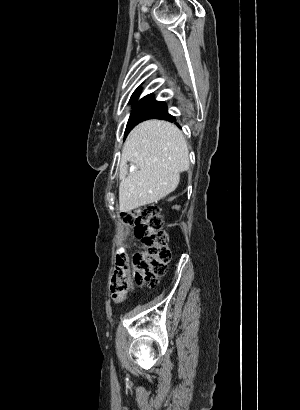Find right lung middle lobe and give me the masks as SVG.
Segmentation results:
<instances>
[{
  "mask_svg": "<svg viewBox=\"0 0 300 410\" xmlns=\"http://www.w3.org/2000/svg\"><path fill=\"white\" fill-rule=\"evenodd\" d=\"M139 93L140 88H138L131 97V101H134V107L126 126L125 137L136 124L167 109L166 104L156 101L153 94H149L137 101Z\"/></svg>",
  "mask_w": 300,
  "mask_h": 410,
  "instance_id": "obj_1",
  "label": "right lung middle lobe"
}]
</instances>
